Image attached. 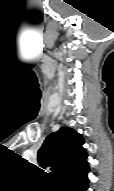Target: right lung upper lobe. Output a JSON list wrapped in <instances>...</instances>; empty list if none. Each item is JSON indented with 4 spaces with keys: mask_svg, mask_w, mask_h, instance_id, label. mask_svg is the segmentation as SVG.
Listing matches in <instances>:
<instances>
[{
    "mask_svg": "<svg viewBox=\"0 0 114 191\" xmlns=\"http://www.w3.org/2000/svg\"><path fill=\"white\" fill-rule=\"evenodd\" d=\"M83 144L81 134L62 127L46 137L38 151V162L44 167L52 165L53 178L60 183L66 177L89 168Z\"/></svg>",
    "mask_w": 114,
    "mask_h": 191,
    "instance_id": "right-lung-upper-lobe-1",
    "label": "right lung upper lobe"
}]
</instances>
